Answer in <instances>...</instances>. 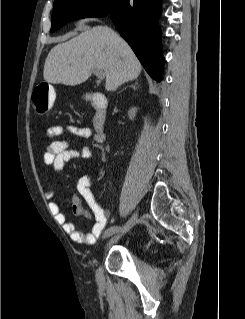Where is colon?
Segmentation results:
<instances>
[{
  "label": "colon",
  "mask_w": 245,
  "mask_h": 319,
  "mask_svg": "<svg viewBox=\"0 0 245 319\" xmlns=\"http://www.w3.org/2000/svg\"><path fill=\"white\" fill-rule=\"evenodd\" d=\"M55 100V91L53 87L47 83L37 85L32 94L33 108L36 114L46 115Z\"/></svg>",
  "instance_id": "obj_1"
}]
</instances>
